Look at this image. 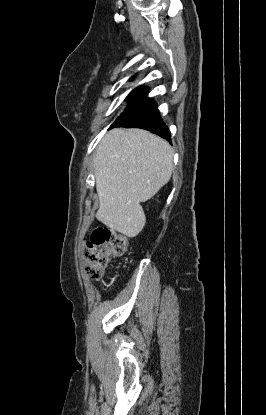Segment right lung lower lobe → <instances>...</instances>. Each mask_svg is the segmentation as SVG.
Returning a JSON list of instances; mask_svg holds the SVG:
<instances>
[{"instance_id": "obj_1", "label": "right lung lower lobe", "mask_w": 266, "mask_h": 415, "mask_svg": "<svg viewBox=\"0 0 266 415\" xmlns=\"http://www.w3.org/2000/svg\"><path fill=\"white\" fill-rule=\"evenodd\" d=\"M113 127L142 128L171 143L170 131L160 117L156 103L150 98L127 108L112 124Z\"/></svg>"}]
</instances>
